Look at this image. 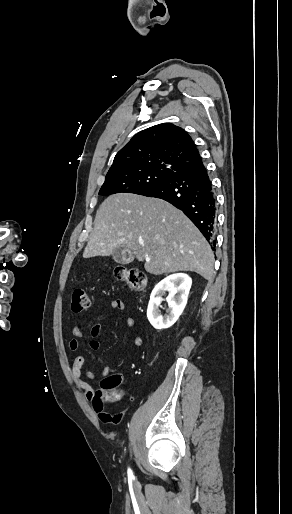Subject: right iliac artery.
Listing matches in <instances>:
<instances>
[{
	"label": "right iliac artery",
	"instance_id": "82829eb1",
	"mask_svg": "<svg viewBox=\"0 0 292 514\" xmlns=\"http://www.w3.org/2000/svg\"><path fill=\"white\" fill-rule=\"evenodd\" d=\"M128 475H129V476H132V471H131V469H130V468L128 469Z\"/></svg>",
	"mask_w": 292,
	"mask_h": 514
}]
</instances>
